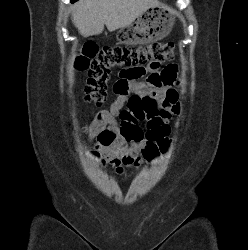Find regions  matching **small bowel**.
Masks as SVG:
<instances>
[{"label":"small bowel","instance_id":"1","mask_svg":"<svg viewBox=\"0 0 248 250\" xmlns=\"http://www.w3.org/2000/svg\"><path fill=\"white\" fill-rule=\"evenodd\" d=\"M164 70H168L175 77L173 66H168ZM160 71L162 70L159 68L148 66L143 68L141 75L148 74L150 77ZM148 87L152 89L149 90ZM113 90L117 95L116 99L108 110H101L95 115L85 127V132L90 139L97 140L98 155L109 161L121 174L124 168L137 167L157 155L154 138L169 133L168 120L173 103L165 99L167 88L159 89L150 83L132 80L125 73L115 81ZM132 94L153 96L160 102L157 110L144 119L145 131L138 125L140 120L134 117L133 112L123 109L129 103ZM118 120L121 121L120 124Z\"/></svg>","mask_w":248,"mask_h":250}]
</instances>
